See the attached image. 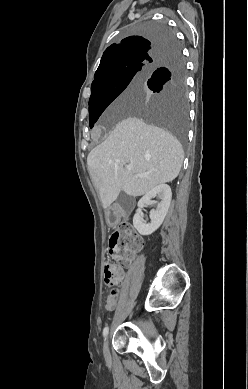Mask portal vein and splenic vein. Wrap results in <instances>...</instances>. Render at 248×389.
<instances>
[{
    "label": "portal vein and splenic vein",
    "mask_w": 248,
    "mask_h": 389,
    "mask_svg": "<svg viewBox=\"0 0 248 389\" xmlns=\"http://www.w3.org/2000/svg\"><path fill=\"white\" fill-rule=\"evenodd\" d=\"M126 169H127L128 171H131V170H132V165H126ZM136 176H138V177H144V176H146V174H139V173H137Z\"/></svg>",
    "instance_id": "18ae733b"
}]
</instances>
